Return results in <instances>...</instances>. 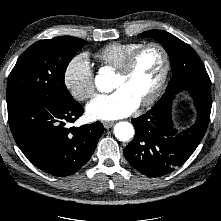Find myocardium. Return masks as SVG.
I'll list each match as a JSON object with an SVG mask.
<instances>
[{
    "label": "myocardium",
    "mask_w": 221,
    "mask_h": 221,
    "mask_svg": "<svg viewBox=\"0 0 221 221\" xmlns=\"http://www.w3.org/2000/svg\"><path fill=\"white\" fill-rule=\"evenodd\" d=\"M149 48H155L161 53L162 58H163V69H162L159 82L155 90L153 91V93L147 99L139 103V106L141 107H147V106L154 104L161 97L165 89L169 72H170V57H169L167 50L165 49L163 45L157 42H148V43L142 44L140 47L135 49L126 58L123 64L117 69V73L123 76L129 75L132 72L138 57L141 55L142 52H144L145 50Z\"/></svg>",
    "instance_id": "1"
}]
</instances>
